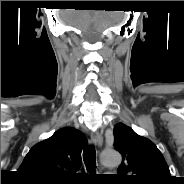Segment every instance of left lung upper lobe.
Returning <instances> with one entry per match:
<instances>
[{
    "label": "left lung upper lobe",
    "instance_id": "obj_1",
    "mask_svg": "<svg viewBox=\"0 0 184 184\" xmlns=\"http://www.w3.org/2000/svg\"><path fill=\"white\" fill-rule=\"evenodd\" d=\"M114 148L122 163L115 178L124 184H171L173 177L156 145L123 123L114 127Z\"/></svg>",
    "mask_w": 184,
    "mask_h": 184
}]
</instances>
